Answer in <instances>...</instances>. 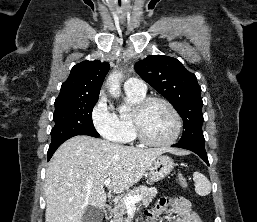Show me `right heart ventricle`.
Masks as SVG:
<instances>
[{"label":"right heart ventricle","instance_id":"1","mask_svg":"<svg viewBox=\"0 0 257 222\" xmlns=\"http://www.w3.org/2000/svg\"><path fill=\"white\" fill-rule=\"evenodd\" d=\"M146 97L145 94L133 93L126 90V102L128 105L134 109L138 103H140ZM132 111L130 112H120L116 118L120 125L124 130V139L119 141L121 143H128L135 139V132L133 129L132 119H131Z\"/></svg>","mask_w":257,"mask_h":222}]
</instances>
